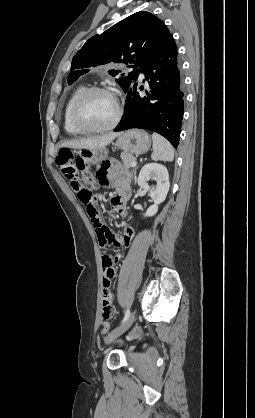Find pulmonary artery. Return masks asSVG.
I'll return each mask as SVG.
<instances>
[{
    "label": "pulmonary artery",
    "instance_id": "obj_1",
    "mask_svg": "<svg viewBox=\"0 0 255 418\" xmlns=\"http://www.w3.org/2000/svg\"><path fill=\"white\" fill-rule=\"evenodd\" d=\"M140 78L143 79L144 78V75L143 74H140Z\"/></svg>",
    "mask_w": 255,
    "mask_h": 418
}]
</instances>
